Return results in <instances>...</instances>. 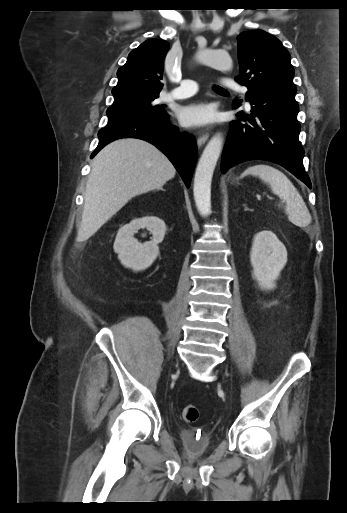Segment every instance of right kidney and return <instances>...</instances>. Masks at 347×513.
<instances>
[{
  "mask_svg": "<svg viewBox=\"0 0 347 513\" xmlns=\"http://www.w3.org/2000/svg\"><path fill=\"white\" fill-rule=\"evenodd\" d=\"M141 228H146L152 233L151 241L140 243L134 238V234ZM165 232V222L158 217L136 218L119 229L113 246L114 251L125 267L134 271L144 270L159 255L158 244L163 241Z\"/></svg>",
  "mask_w": 347,
  "mask_h": 513,
  "instance_id": "ca27d5eb",
  "label": "right kidney"
}]
</instances>
